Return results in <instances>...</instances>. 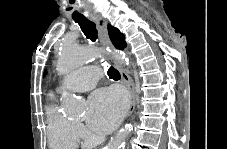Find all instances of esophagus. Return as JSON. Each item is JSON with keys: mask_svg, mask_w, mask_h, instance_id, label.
Returning a JSON list of instances; mask_svg holds the SVG:
<instances>
[{"mask_svg": "<svg viewBox=\"0 0 227 149\" xmlns=\"http://www.w3.org/2000/svg\"><path fill=\"white\" fill-rule=\"evenodd\" d=\"M95 21L101 36V44L109 51V60L119 71L122 81L130 93L131 103L127 113V117H129L133 113L136 105V91L134 82L129 73L123 68V66L115 59L114 55L112 54V45L107 32V22L102 17H96Z\"/></svg>", "mask_w": 227, "mask_h": 149, "instance_id": "34e87169", "label": "esophagus"}]
</instances>
